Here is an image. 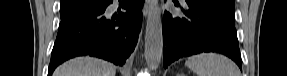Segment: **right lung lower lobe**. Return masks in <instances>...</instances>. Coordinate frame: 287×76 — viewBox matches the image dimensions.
<instances>
[{"mask_svg":"<svg viewBox=\"0 0 287 76\" xmlns=\"http://www.w3.org/2000/svg\"><path fill=\"white\" fill-rule=\"evenodd\" d=\"M120 1V0H119ZM113 0H95L83 11L61 20L48 75L64 61L80 55L99 57L122 66L134 50L142 25L144 0H123L124 13L108 14Z\"/></svg>","mask_w":287,"mask_h":76,"instance_id":"right-lung-lower-lobe-1","label":"right lung lower lobe"}]
</instances>
